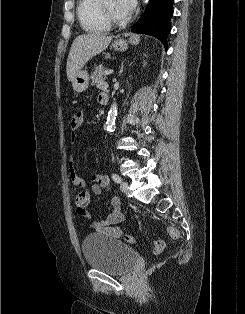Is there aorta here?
<instances>
[{"instance_id": "obj_1", "label": "aorta", "mask_w": 245, "mask_h": 314, "mask_svg": "<svg viewBox=\"0 0 245 314\" xmlns=\"http://www.w3.org/2000/svg\"><path fill=\"white\" fill-rule=\"evenodd\" d=\"M145 3L148 2V0H143ZM117 103L114 102L111 107L110 110L108 112V116H107V121H106V129L108 132H112L114 130L115 127V120H116V116H117Z\"/></svg>"}]
</instances>
